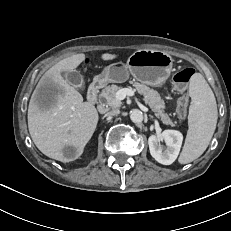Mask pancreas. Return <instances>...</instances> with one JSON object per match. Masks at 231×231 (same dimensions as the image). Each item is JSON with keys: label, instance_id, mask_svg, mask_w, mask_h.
Returning <instances> with one entry per match:
<instances>
[{"label": "pancreas", "instance_id": "1", "mask_svg": "<svg viewBox=\"0 0 231 231\" xmlns=\"http://www.w3.org/2000/svg\"><path fill=\"white\" fill-rule=\"evenodd\" d=\"M135 90L143 96V100L150 107V109L154 112L155 116L160 119L164 124L176 126L177 122L172 121L167 113H165V103L164 100L160 97L159 93L148 87L147 85L135 81H131ZM121 87L118 85H109L105 87L101 94L100 98H102L105 102L106 107L111 108H119L121 106V101L115 98L116 92L120 90Z\"/></svg>", "mask_w": 231, "mask_h": 231}]
</instances>
